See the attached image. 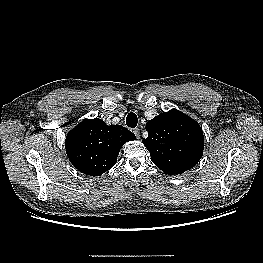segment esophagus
Instances as JSON below:
<instances>
[{
  "mask_svg": "<svg viewBox=\"0 0 263 263\" xmlns=\"http://www.w3.org/2000/svg\"><path fill=\"white\" fill-rule=\"evenodd\" d=\"M133 132H134V134L136 135L137 138L140 137L138 128H135Z\"/></svg>",
  "mask_w": 263,
  "mask_h": 263,
  "instance_id": "esophagus-1",
  "label": "esophagus"
}]
</instances>
